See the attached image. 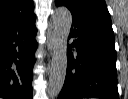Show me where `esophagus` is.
<instances>
[{"label": "esophagus", "mask_w": 128, "mask_h": 99, "mask_svg": "<svg viewBox=\"0 0 128 99\" xmlns=\"http://www.w3.org/2000/svg\"><path fill=\"white\" fill-rule=\"evenodd\" d=\"M53 44H54V36L52 35V38H51V48H50V51L52 50L53 48Z\"/></svg>", "instance_id": "34e87169"}]
</instances>
